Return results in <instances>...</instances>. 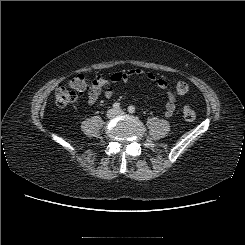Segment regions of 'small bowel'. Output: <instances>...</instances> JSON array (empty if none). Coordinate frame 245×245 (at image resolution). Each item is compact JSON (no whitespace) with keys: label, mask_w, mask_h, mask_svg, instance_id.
<instances>
[{"label":"small bowel","mask_w":245,"mask_h":245,"mask_svg":"<svg viewBox=\"0 0 245 245\" xmlns=\"http://www.w3.org/2000/svg\"><path fill=\"white\" fill-rule=\"evenodd\" d=\"M143 73L141 69L134 68L122 72H115L111 74L108 78L96 77L92 89L89 91L87 100L89 105H93L97 102L100 96L105 98H111L113 96L112 85L117 84L122 81L128 80L132 76H139ZM146 77L150 81H156L157 86L166 91L167 101L165 104V116L170 117L173 115L176 108V97L174 93L170 90V84L167 80L163 78H156L154 74L147 73Z\"/></svg>","instance_id":"c3829d8e"}]
</instances>
